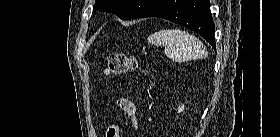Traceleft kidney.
Wrapping results in <instances>:
<instances>
[{"label":"left kidney","mask_w":280,"mask_h":137,"mask_svg":"<svg viewBox=\"0 0 280 137\" xmlns=\"http://www.w3.org/2000/svg\"><path fill=\"white\" fill-rule=\"evenodd\" d=\"M184 107H185L184 104H182L181 106H179V107H178V113L183 112Z\"/></svg>","instance_id":"left-kidney-1"}]
</instances>
